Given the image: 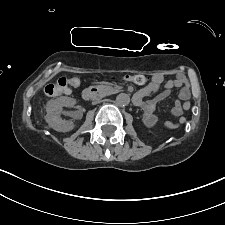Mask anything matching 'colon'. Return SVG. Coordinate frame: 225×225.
<instances>
[{"label": "colon", "instance_id": "colon-1", "mask_svg": "<svg viewBox=\"0 0 225 225\" xmlns=\"http://www.w3.org/2000/svg\"><path fill=\"white\" fill-rule=\"evenodd\" d=\"M125 81L133 82L139 85L145 84L148 82L149 77L144 74H135V75H126L123 78ZM80 85V80L76 77L73 78H61L56 83L49 84L45 87V94L47 96L53 97L60 95L62 93H67L77 88ZM180 106L184 110H189L191 104L188 101H182ZM184 122V121H183ZM181 122L180 124H182Z\"/></svg>", "mask_w": 225, "mask_h": 225}]
</instances>
